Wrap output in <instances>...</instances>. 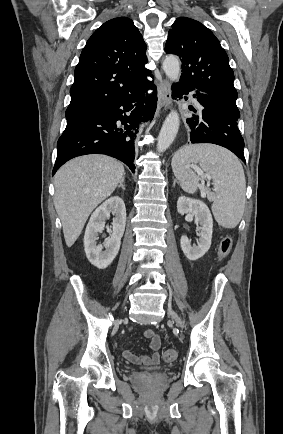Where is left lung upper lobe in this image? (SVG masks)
Returning <instances> with one entry per match:
<instances>
[{
	"label": "left lung upper lobe",
	"mask_w": 283,
	"mask_h": 434,
	"mask_svg": "<svg viewBox=\"0 0 283 434\" xmlns=\"http://www.w3.org/2000/svg\"><path fill=\"white\" fill-rule=\"evenodd\" d=\"M165 51L181 59L182 83L236 106L234 72L219 40L207 27L191 18H177Z\"/></svg>",
	"instance_id": "5c2ea615"
}]
</instances>
